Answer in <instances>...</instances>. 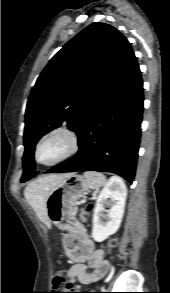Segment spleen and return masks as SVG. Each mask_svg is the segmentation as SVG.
<instances>
[{"label":"spleen","mask_w":170,"mask_h":293,"mask_svg":"<svg viewBox=\"0 0 170 293\" xmlns=\"http://www.w3.org/2000/svg\"><path fill=\"white\" fill-rule=\"evenodd\" d=\"M84 180L92 189H98L106 184V177L99 172L86 171L84 173Z\"/></svg>","instance_id":"obj_1"}]
</instances>
